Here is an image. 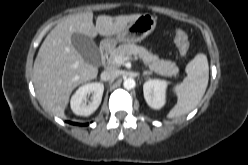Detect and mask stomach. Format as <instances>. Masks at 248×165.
Segmentation results:
<instances>
[{
  "mask_svg": "<svg viewBox=\"0 0 248 165\" xmlns=\"http://www.w3.org/2000/svg\"><path fill=\"white\" fill-rule=\"evenodd\" d=\"M156 27V18L151 14H142L136 20L130 22L116 37L109 42L115 45L117 42L136 43L146 38Z\"/></svg>",
  "mask_w": 248,
  "mask_h": 165,
  "instance_id": "1",
  "label": "stomach"
}]
</instances>
